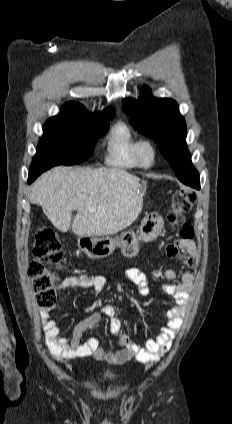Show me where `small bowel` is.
<instances>
[{"mask_svg": "<svg viewBox=\"0 0 232 424\" xmlns=\"http://www.w3.org/2000/svg\"><path fill=\"white\" fill-rule=\"evenodd\" d=\"M165 253L190 269L195 266L198 257L195 243L187 239H179L167 245ZM125 275L129 281L137 285L139 295L150 294L145 274L137 269H129ZM164 278L173 282L163 286V291L173 299V306L165 313L166 326L161 328L156 337L148 339L143 345L135 343L125 332L116 308L110 303H105L75 325L71 338H62L59 335L57 322L50 318L48 311L42 310L40 319L45 331L46 345L51 354L60 362L87 357L113 364H123L133 358L147 364L158 362L172 348L173 341L182 327V317L187 310L194 280L191 271L178 274L174 270H167ZM106 285V278L101 275L78 273L64 278L59 284V289L87 288L92 289L95 295H99L105 290ZM103 316L110 318V332L116 336L121 347L117 351L103 348L95 337L80 342L86 332L98 327Z\"/></svg>", "mask_w": 232, "mask_h": 424, "instance_id": "c3829d8e", "label": "small bowel"}]
</instances>
